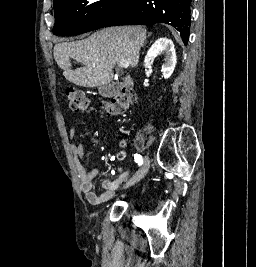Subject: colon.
I'll return each instance as SVG.
<instances>
[{"label": "colon", "mask_w": 256, "mask_h": 267, "mask_svg": "<svg viewBox=\"0 0 256 267\" xmlns=\"http://www.w3.org/2000/svg\"><path fill=\"white\" fill-rule=\"evenodd\" d=\"M66 102L70 110L75 113H84L89 109V99L80 89H69L66 92ZM132 96L129 92H123L105 103V110L112 114L121 115L130 107Z\"/></svg>", "instance_id": "obj_1"}]
</instances>
